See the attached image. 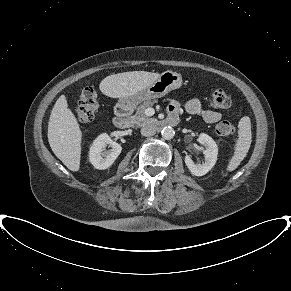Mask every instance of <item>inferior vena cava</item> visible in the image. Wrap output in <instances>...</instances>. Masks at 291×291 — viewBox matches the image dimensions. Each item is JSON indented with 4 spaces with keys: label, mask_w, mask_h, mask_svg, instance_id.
Here are the masks:
<instances>
[{
    "label": "inferior vena cava",
    "mask_w": 291,
    "mask_h": 291,
    "mask_svg": "<svg viewBox=\"0 0 291 291\" xmlns=\"http://www.w3.org/2000/svg\"><path fill=\"white\" fill-rule=\"evenodd\" d=\"M141 135L142 136H153L156 133V130L153 126L147 125L141 128Z\"/></svg>",
    "instance_id": "obj_1"
}]
</instances>
